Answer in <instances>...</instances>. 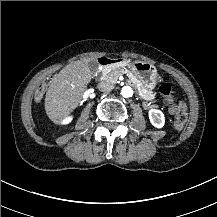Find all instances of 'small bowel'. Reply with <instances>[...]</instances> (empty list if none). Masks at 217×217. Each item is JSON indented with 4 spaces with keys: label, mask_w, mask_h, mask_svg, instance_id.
I'll list each match as a JSON object with an SVG mask.
<instances>
[{
    "label": "small bowel",
    "mask_w": 217,
    "mask_h": 217,
    "mask_svg": "<svg viewBox=\"0 0 217 217\" xmlns=\"http://www.w3.org/2000/svg\"><path fill=\"white\" fill-rule=\"evenodd\" d=\"M146 106L150 107V106H151V104H150L149 102H147V103H146Z\"/></svg>",
    "instance_id": "small-bowel-1"
}]
</instances>
